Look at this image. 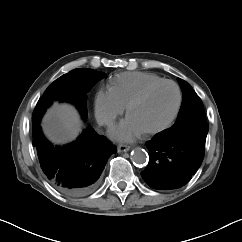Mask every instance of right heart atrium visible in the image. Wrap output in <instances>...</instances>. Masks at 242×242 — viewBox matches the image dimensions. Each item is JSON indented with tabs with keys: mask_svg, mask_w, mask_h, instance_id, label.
Wrapping results in <instances>:
<instances>
[{
	"mask_svg": "<svg viewBox=\"0 0 242 242\" xmlns=\"http://www.w3.org/2000/svg\"><path fill=\"white\" fill-rule=\"evenodd\" d=\"M125 110V106L110 90H99L95 97V115L98 122L105 126L112 125Z\"/></svg>",
	"mask_w": 242,
	"mask_h": 242,
	"instance_id": "right-heart-atrium-1",
	"label": "right heart atrium"
}]
</instances>
